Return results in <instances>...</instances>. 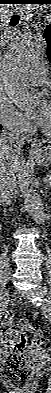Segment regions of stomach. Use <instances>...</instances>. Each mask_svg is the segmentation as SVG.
<instances>
[{"mask_svg": "<svg viewBox=\"0 0 51 393\" xmlns=\"http://www.w3.org/2000/svg\"><path fill=\"white\" fill-rule=\"evenodd\" d=\"M35 161L40 165H51V145L41 146L33 152Z\"/></svg>", "mask_w": 51, "mask_h": 393, "instance_id": "obj_1", "label": "stomach"}]
</instances>
